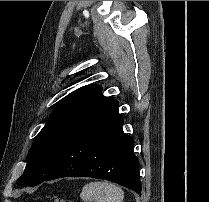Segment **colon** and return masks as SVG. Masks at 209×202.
Returning <instances> with one entry per match:
<instances>
[{
	"label": "colon",
	"mask_w": 209,
	"mask_h": 202,
	"mask_svg": "<svg viewBox=\"0 0 209 202\" xmlns=\"http://www.w3.org/2000/svg\"><path fill=\"white\" fill-rule=\"evenodd\" d=\"M52 202H74L66 198H55Z\"/></svg>",
	"instance_id": "obj_1"
}]
</instances>
